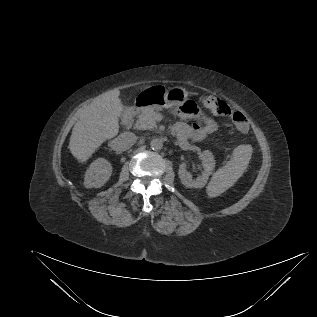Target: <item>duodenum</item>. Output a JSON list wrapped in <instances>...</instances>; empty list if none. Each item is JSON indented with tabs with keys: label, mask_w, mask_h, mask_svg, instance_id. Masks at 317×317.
Segmentation results:
<instances>
[{
	"label": "duodenum",
	"mask_w": 317,
	"mask_h": 317,
	"mask_svg": "<svg viewBox=\"0 0 317 317\" xmlns=\"http://www.w3.org/2000/svg\"><path fill=\"white\" fill-rule=\"evenodd\" d=\"M135 111H136V106L135 105L129 106L124 111V113L122 115V124L124 126H128L132 122V119H133Z\"/></svg>",
	"instance_id": "1"
}]
</instances>
